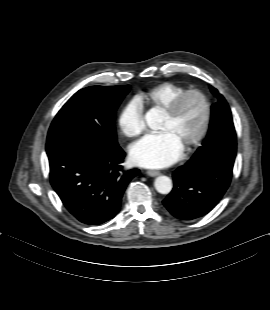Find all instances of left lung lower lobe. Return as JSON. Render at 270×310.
<instances>
[{"label":"left lung lower lobe","instance_id":"obj_1","mask_svg":"<svg viewBox=\"0 0 270 310\" xmlns=\"http://www.w3.org/2000/svg\"><path fill=\"white\" fill-rule=\"evenodd\" d=\"M233 168L189 160L173 173L174 186L163 200L176 218L194 220L209 213L230 185Z\"/></svg>","mask_w":270,"mask_h":310}]
</instances>
